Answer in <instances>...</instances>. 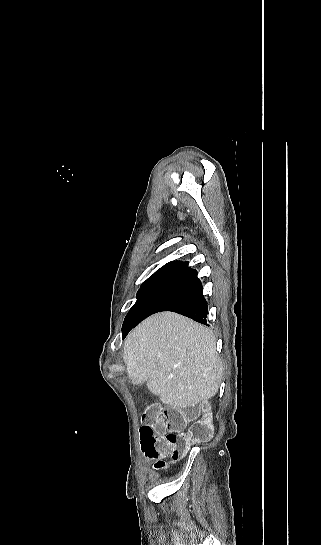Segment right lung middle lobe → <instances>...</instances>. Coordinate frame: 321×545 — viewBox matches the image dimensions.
Wrapping results in <instances>:
<instances>
[{
    "label": "right lung middle lobe",
    "instance_id": "1",
    "mask_svg": "<svg viewBox=\"0 0 321 545\" xmlns=\"http://www.w3.org/2000/svg\"><path fill=\"white\" fill-rule=\"evenodd\" d=\"M172 269H158L140 287L137 292V301L127 314L125 321L135 319L152 299L162 284L174 273Z\"/></svg>",
    "mask_w": 321,
    "mask_h": 545
}]
</instances>
